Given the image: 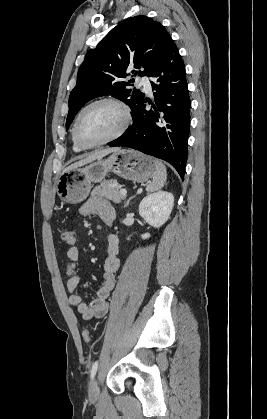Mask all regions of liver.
Here are the masks:
<instances>
[{
  "instance_id": "1",
  "label": "liver",
  "mask_w": 267,
  "mask_h": 419,
  "mask_svg": "<svg viewBox=\"0 0 267 419\" xmlns=\"http://www.w3.org/2000/svg\"><path fill=\"white\" fill-rule=\"evenodd\" d=\"M118 148H106V149H101V150H95L94 152H92L91 154H89L86 158L75 162L74 164L70 165L69 167H67L64 171H68L77 167H81L84 166L90 162H93L97 159H101L103 157H105L106 155L116 152L118 151Z\"/></svg>"
}]
</instances>
